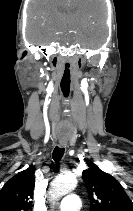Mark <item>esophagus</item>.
<instances>
[{
  "mask_svg": "<svg viewBox=\"0 0 133 211\" xmlns=\"http://www.w3.org/2000/svg\"><path fill=\"white\" fill-rule=\"evenodd\" d=\"M59 145L61 146V147H66L67 146V141H59Z\"/></svg>",
  "mask_w": 133,
  "mask_h": 211,
  "instance_id": "1",
  "label": "esophagus"
}]
</instances>
